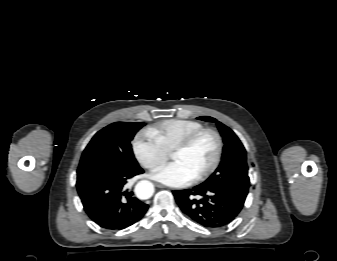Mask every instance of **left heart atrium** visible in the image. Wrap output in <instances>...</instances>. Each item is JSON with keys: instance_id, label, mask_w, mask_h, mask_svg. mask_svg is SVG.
<instances>
[{"instance_id": "obj_1", "label": "left heart atrium", "mask_w": 337, "mask_h": 261, "mask_svg": "<svg viewBox=\"0 0 337 261\" xmlns=\"http://www.w3.org/2000/svg\"><path fill=\"white\" fill-rule=\"evenodd\" d=\"M151 176L168 186L184 187L192 183L193 175L178 161H172L156 167Z\"/></svg>"}]
</instances>
